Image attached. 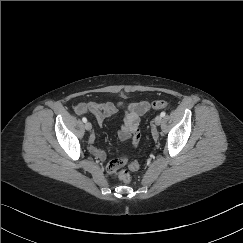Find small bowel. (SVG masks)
<instances>
[{
  "label": "small bowel",
  "mask_w": 243,
  "mask_h": 243,
  "mask_svg": "<svg viewBox=\"0 0 243 243\" xmlns=\"http://www.w3.org/2000/svg\"><path fill=\"white\" fill-rule=\"evenodd\" d=\"M124 110L123 123L118 127L117 134L121 142L130 141L131 145L135 147L140 140L139 121L140 117L144 115L149 109L150 104L147 101L134 102L128 105L123 103L106 102H80L76 105L78 114H93L99 125H102L105 117L116 114L120 110ZM96 136L93 134L89 137L90 144H94ZM89 152L98 160H104L106 155L101 149L90 146ZM122 165L115 161H110L106 164L107 173L114 177L118 169Z\"/></svg>",
  "instance_id": "small-bowel-1"
}]
</instances>
